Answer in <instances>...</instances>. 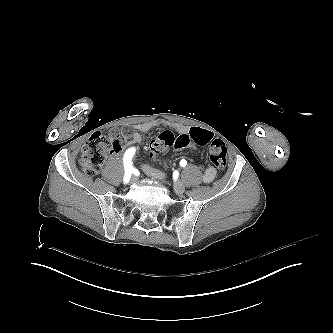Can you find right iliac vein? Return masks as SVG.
Returning a JSON list of instances; mask_svg holds the SVG:
<instances>
[{
    "label": "right iliac vein",
    "instance_id": "63e3f726",
    "mask_svg": "<svg viewBox=\"0 0 333 333\" xmlns=\"http://www.w3.org/2000/svg\"><path fill=\"white\" fill-rule=\"evenodd\" d=\"M135 181H136V179L132 178L131 181H130V183L135 182Z\"/></svg>",
    "mask_w": 333,
    "mask_h": 333
}]
</instances>
